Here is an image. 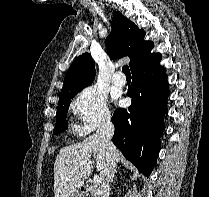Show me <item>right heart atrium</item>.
Instances as JSON below:
<instances>
[{"instance_id": "1", "label": "right heart atrium", "mask_w": 209, "mask_h": 197, "mask_svg": "<svg viewBox=\"0 0 209 197\" xmlns=\"http://www.w3.org/2000/svg\"><path fill=\"white\" fill-rule=\"evenodd\" d=\"M78 120L77 131L87 135L110 121L111 113L107 97L95 87L89 86L80 91L70 105Z\"/></svg>"}]
</instances>
